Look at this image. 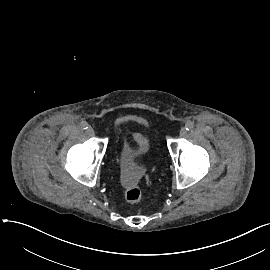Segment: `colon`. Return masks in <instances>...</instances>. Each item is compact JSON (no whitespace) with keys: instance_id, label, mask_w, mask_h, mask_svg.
<instances>
[{"instance_id":"1","label":"colon","mask_w":270,"mask_h":270,"mask_svg":"<svg viewBox=\"0 0 270 270\" xmlns=\"http://www.w3.org/2000/svg\"><path fill=\"white\" fill-rule=\"evenodd\" d=\"M132 141L141 150H146L149 147V140L141 133H134ZM121 181L124 187L125 200L128 203H138L142 198L141 188L138 184V174L124 171Z\"/></svg>"}]
</instances>
